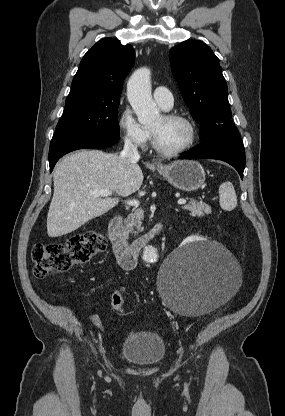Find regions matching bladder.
<instances>
[{
    "label": "bladder",
    "mask_w": 285,
    "mask_h": 416,
    "mask_svg": "<svg viewBox=\"0 0 285 416\" xmlns=\"http://www.w3.org/2000/svg\"><path fill=\"white\" fill-rule=\"evenodd\" d=\"M163 337L151 331H133L127 334L120 354L131 362L155 363L162 360L166 352Z\"/></svg>",
    "instance_id": "bladder-1"
}]
</instances>
